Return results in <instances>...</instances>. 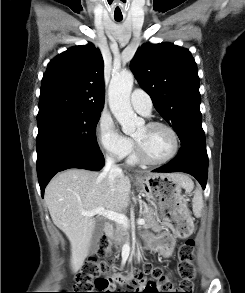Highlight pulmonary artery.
Segmentation results:
<instances>
[{
	"instance_id": "e3ab8cb5",
	"label": "pulmonary artery",
	"mask_w": 245,
	"mask_h": 293,
	"mask_svg": "<svg viewBox=\"0 0 245 293\" xmlns=\"http://www.w3.org/2000/svg\"><path fill=\"white\" fill-rule=\"evenodd\" d=\"M132 107L143 116H149L152 109L150 95L142 89H135L130 97Z\"/></svg>"
}]
</instances>
